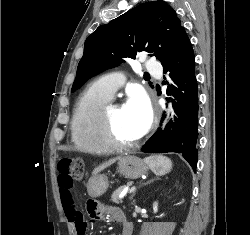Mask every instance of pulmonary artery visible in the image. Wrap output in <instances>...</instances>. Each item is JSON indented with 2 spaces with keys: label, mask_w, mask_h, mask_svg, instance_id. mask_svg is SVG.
<instances>
[{
  "label": "pulmonary artery",
  "mask_w": 250,
  "mask_h": 235,
  "mask_svg": "<svg viewBox=\"0 0 250 235\" xmlns=\"http://www.w3.org/2000/svg\"><path fill=\"white\" fill-rule=\"evenodd\" d=\"M146 68L151 74L160 75L161 68L153 61L146 62ZM124 82V77L121 74H110L97 79L93 85L94 87L109 97H113L115 92L121 87Z\"/></svg>",
  "instance_id": "obj_1"
}]
</instances>
